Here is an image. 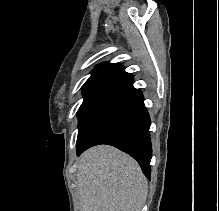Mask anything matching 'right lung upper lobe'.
I'll list each match as a JSON object with an SVG mask.
<instances>
[{
  "label": "right lung upper lobe",
  "mask_w": 219,
  "mask_h": 211,
  "mask_svg": "<svg viewBox=\"0 0 219 211\" xmlns=\"http://www.w3.org/2000/svg\"><path fill=\"white\" fill-rule=\"evenodd\" d=\"M131 76L119 64H102L97 67L83 85V94L115 88L123 80Z\"/></svg>",
  "instance_id": "1"
}]
</instances>
